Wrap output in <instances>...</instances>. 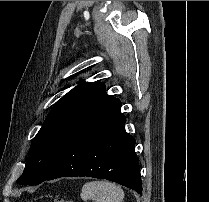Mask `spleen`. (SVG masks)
<instances>
[{"mask_svg":"<svg viewBox=\"0 0 209 202\" xmlns=\"http://www.w3.org/2000/svg\"><path fill=\"white\" fill-rule=\"evenodd\" d=\"M80 195L84 201L122 202L124 191L120 186L108 181H91L83 185Z\"/></svg>","mask_w":209,"mask_h":202,"instance_id":"3e777b00","label":"spleen"}]
</instances>
